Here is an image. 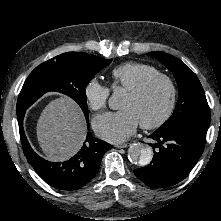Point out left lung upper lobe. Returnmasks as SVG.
Segmentation results:
<instances>
[{
  "label": "left lung upper lobe",
  "instance_id": "5c2ea615",
  "mask_svg": "<svg viewBox=\"0 0 221 221\" xmlns=\"http://www.w3.org/2000/svg\"><path fill=\"white\" fill-rule=\"evenodd\" d=\"M148 55L158 59L172 71L179 87L175 111L156 132L174 133L189 128L206 133L210 124V110L202 85L195 73L174 56L157 51Z\"/></svg>",
  "mask_w": 221,
  "mask_h": 221
}]
</instances>
